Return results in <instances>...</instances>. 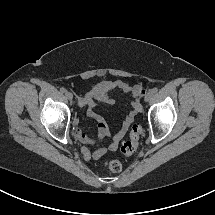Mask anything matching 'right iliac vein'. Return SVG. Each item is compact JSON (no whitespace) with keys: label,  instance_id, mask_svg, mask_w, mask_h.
Returning <instances> with one entry per match:
<instances>
[{"label":"right iliac vein","instance_id":"1","mask_svg":"<svg viewBox=\"0 0 215 215\" xmlns=\"http://www.w3.org/2000/svg\"><path fill=\"white\" fill-rule=\"evenodd\" d=\"M65 95H66V97H67L69 100H72V99H73L72 93L66 92Z\"/></svg>","mask_w":215,"mask_h":215}]
</instances>
